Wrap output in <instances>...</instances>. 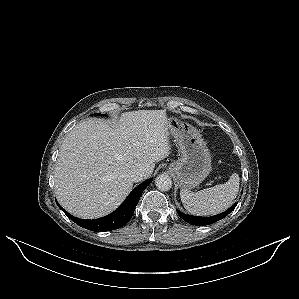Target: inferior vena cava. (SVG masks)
Returning a JSON list of instances; mask_svg holds the SVG:
<instances>
[{"label": "inferior vena cava", "mask_w": 299, "mask_h": 299, "mask_svg": "<svg viewBox=\"0 0 299 299\" xmlns=\"http://www.w3.org/2000/svg\"><path fill=\"white\" fill-rule=\"evenodd\" d=\"M145 171L143 169H134L130 173V178L133 182H139L144 179Z\"/></svg>", "instance_id": "1"}]
</instances>
